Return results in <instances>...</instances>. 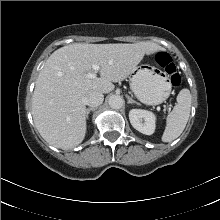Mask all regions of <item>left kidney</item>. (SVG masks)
Masks as SVG:
<instances>
[{"label": "left kidney", "instance_id": "obj_1", "mask_svg": "<svg viewBox=\"0 0 220 220\" xmlns=\"http://www.w3.org/2000/svg\"><path fill=\"white\" fill-rule=\"evenodd\" d=\"M131 125L145 135H152L155 131L156 117L147 110L132 109L129 112Z\"/></svg>", "mask_w": 220, "mask_h": 220}]
</instances>
